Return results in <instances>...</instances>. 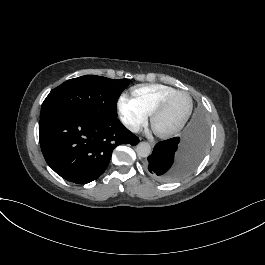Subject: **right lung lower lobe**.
Instances as JSON below:
<instances>
[{"mask_svg": "<svg viewBox=\"0 0 265 265\" xmlns=\"http://www.w3.org/2000/svg\"><path fill=\"white\" fill-rule=\"evenodd\" d=\"M39 140L48 165L77 184L98 178L116 146L139 142L117 118L106 120L73 110L40 119Z\"/></svg>", "mask_w": 265, "mask_h": 265, "instance_id": "1", "label": "right lung lower lobe"}]
</instances>
